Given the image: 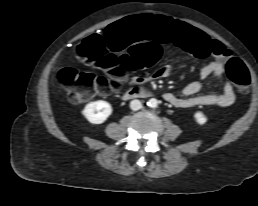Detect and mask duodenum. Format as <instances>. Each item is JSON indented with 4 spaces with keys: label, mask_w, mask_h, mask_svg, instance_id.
Segmentation results:
<instances>
[{
    "label": "duodenum",
    "mask_w": 258,
    "mask_h": 206,
    "mask_svg": "<svg viewBox=\"0 0 258 206\" xmlns=\"http://www.w3.org/2000/svg\"><path fill=\"white\" fill-rule=\"evenodd\" d=\"M151 93L146 91V90H141V91H137V90H128L127 92H125L122 96L123 100H129V99H133V98H145V97H150Z\"/></svg>",
    "instance_id": "duodenum-1"
}]
</instances>
